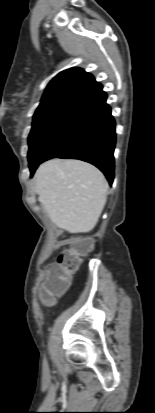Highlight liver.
I'll return each mask as SVG.
<instances>
[{"label":"liver","mask_w":155,"mask_h":413,"mask_svg":"<svg viewBox=\"0 0 155 413\" xmlns=\"http://www.w3.org/2000/svg\"><path fill=\"white\" fill-rule=\"evenodd\" d=\"M108 187L100 170L80 160L52 159L34 175V191L49 219L70 233H86L95 227Z\"/></svg>","instance_id":"6515ba94"}]
</instances>
